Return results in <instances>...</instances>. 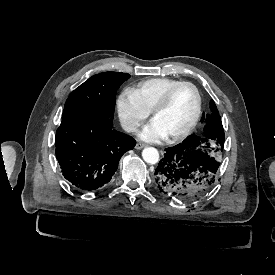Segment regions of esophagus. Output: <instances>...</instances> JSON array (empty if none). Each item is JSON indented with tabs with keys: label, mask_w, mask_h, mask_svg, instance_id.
Returning a JSON list of instances; mask_svg holds the SVG:
<instances>
[{
	"label": "esophagus",
	"mask_w": 275,
	"mask_h": 275,
	"mask_svg": "<svg viewBox=\"0 0 275 275\" xmlns=\"http://www.w3.org/2000/svg\"><path fill=\"white\" fill-rule=\"evenodd\" d=\"M146 146H147V144H144V143H137L136 146H135V148H136V149H142V148H144V147H146Z\"/></svg>",
	"instance_id": "34e87169"
}]
</instances>
